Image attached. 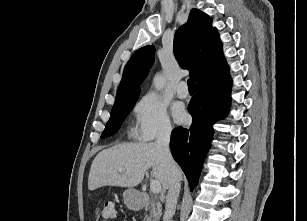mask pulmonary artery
<instances>
[{
    "label": "pulmonary artery",
    "mask_w": 307,
    "mask_h": 221,
    "mask_svg": "<svg viewBox=\"0 0 307 221\" xmlns=\"http://www.w3.org/2000/svg\"><path fill=\"white\" fill-rule=\"evenodd\" d=\"M176 93H177V96L181 99H185V98L188 97L189 92H188V89H187L186 82L182 81L178 84L177 89H176Z\"/></svg>",
    "instance_id": "1"
}]
</instances>
